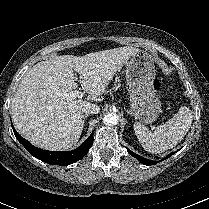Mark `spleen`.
<instances>
[{
  "instance_id": "3e777b00",
  "label": "spleen",
  "mask_w": 209,
  "mask_h": 209,
  "mask_svg": "<svg viewBox=\"0 0 209 209\" xmlns=\"http://www.w3.org/2000/svg\"><path fill=\"white\" fill-rule=\"evenodd\" d=\"M192 117L191 110L182 106L173 118L158 126L154 132L140 122H135L133 127L142 147L157 154L175 147L183 140L192 124Z\"/></svg>"
}]
</instances>
